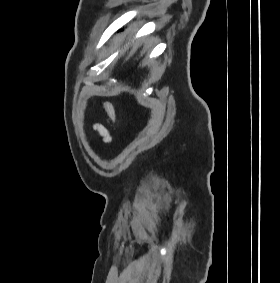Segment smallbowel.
Wrapping results in <instances>:
<instances>
[{"label": "small bowel", "mask_w": 280, "mask_h": 283, "mask_svg": "<svg viewBox=\"0 0 280 283\" xmlns=\"http://www.w3.org/2000/svg\"><path fill=\"white\" fill-rule=\"evenodd\" d=\"M93 129L102 137L104 142H110L111 141V135L109 130L100 123H94Z\"/></svg>", "instance_id": "c3829d8e"}]
</instances>
